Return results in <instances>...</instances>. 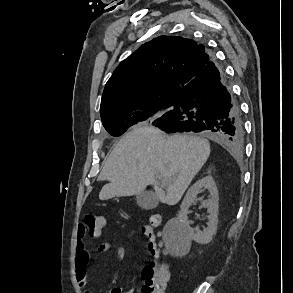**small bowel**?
Masks as SVG:
<instances>
[{"instance_id": "obj_1", "label": "small bowel", "mask_w": 293, "mask_h": 293, "mask_svg": "<svg viewBox=\"0 0 293 293\" xmlns=\"http://www.w3.org/2000/svg\"><path fill=\"white\" fill-rule=\"evenodd\" d=\"M96 250L99 253H113L119 260H123L126 257L125 247L113 241H104L100 243ZM90 260L91 254L86 245V237L83 234L82 228L79 227L76 238L74 269L77 282L81 287H85L87 285V269L90 264ZM84 293H93V291L85 290ZM111 293H135V290H124L121 287H114L111 290Z\"/></svg>"}]
</instances>
